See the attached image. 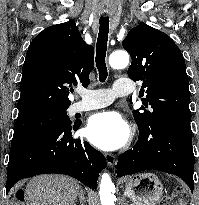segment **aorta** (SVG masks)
I'll return each instance as SVG.
<instances>
[{
  "label": "aorta",
  "mask_w": 199,
  "mask_h": 205,
  "mask_svg": "<svg viewBox=\"0 0 199 205\" xmlns=\"http://www.w3.org/2000/svg\"><path fill=\"white\" fill-rule=\"evenodd\" d=\"M129 63V55L126 51H115L110 55L109 64L114 69L125 68ZM114 189V184L109 176V174L104 173L101 177L100 182V201L101 205H115L114 195L112 190Z\"/></svg>",
  "instance_id": "762f6f07"
}]
</instances>
